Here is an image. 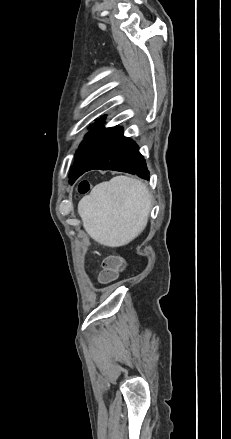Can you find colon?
Returning <instances> with one entry per match:
<instances>
[{
	"instance_id": "5ec220e1",
	"label": "colon",
	"mask_w": 231,
	"mask_h": 439,
	"mask_svg": "<svg viewBox=\"0 0 231 439\" xmlns=\"http://www.w3.org/2000/svg\"><path fill=\"white\" fill-rule=\"evenodd\" d=\"M78 190L81 194L89 190V183L83 181L79 184ZM124 260L120 256L110 255L102 261V270L98 276L100 285H113L119 279L118 272L123 267Z\"/></svg>"
}]
</instances>
